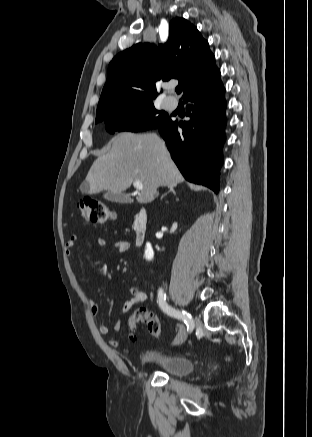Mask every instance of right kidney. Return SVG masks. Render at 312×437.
Returning a JSON list of instances; mask_svg holds the SVG:
<instances>
[{"label":"right kidney","mask_w":312,"mask_h":437,"mask_svg":"<svg viewBox=\"0 0 312 437\" xmlns=\"http://www.w3.org/2000/svg\"><path fill=\"white\" fill-rule=\"evenodd\" d=\"M145 258L147 260H152L153 256H154V252L152 249V246L150 243H146V249H145V254H144Z\"/></svg>","instance_id":"1"}]
</instances>
